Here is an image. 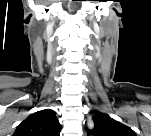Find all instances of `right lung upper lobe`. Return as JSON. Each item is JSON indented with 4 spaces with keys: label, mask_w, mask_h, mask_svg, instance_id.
<instances>
[{
    "label": "right lung upper lobe",
    "mask_w": 151,
    "mask_h": 136,
    "mask_svg": "<svg viewBox=\"0 0 151 136\" xmlns=\"http://www.w3.org/2000/svg\"><path fill=\"white\" fill-rule=\"evenodd\" d=\"M61 126L54 111L45 109L29 115L17 127L15 136H60Z\"/></svg>",
    "instance_id": "1"
}]
</instances>
